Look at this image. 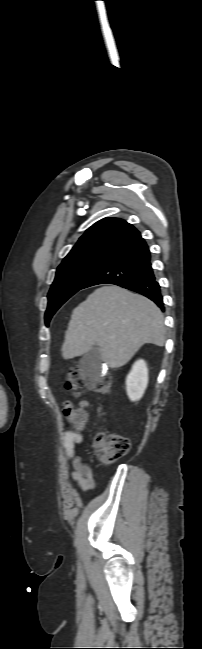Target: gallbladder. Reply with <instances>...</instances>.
Segmentation results:
<instances>
[{
  "label": "gallbladder",
  "mask_w": 202,
  "mask_h": 649,
  "mask_svg": "<svg viewBox=\"0 0 202 649\" xmlns=\"http://www.w3.org/2000/svg\"><path fill=\"white\" fill-rule=\"evenodd\" d=\"M82 375L90 380H96L102 375V356L98 346H93L83 355L79 362Z\"/></svg>",
  "instance_id": "1"
}]
</instances>
